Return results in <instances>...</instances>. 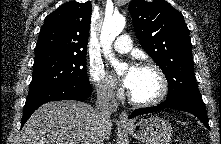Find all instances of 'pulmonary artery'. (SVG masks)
<instances>
[{
    "label": "pulmonary artery",
    "mask_w": 221,
    "mask_h": 144,
    "mask_svg": "<svg viewBox=\"0 0 221 144\" xmlns=\"http://www.w3.org/2000/svg\"><path fill=\"white\" fill-rule=\"evenodd\" d=\"M113 47L120 53H127L132 48L131 38L127 34H123L116 39Z\"/></svg>",
    "instance_id": "e3ab8cb5"
}]
</instances>
